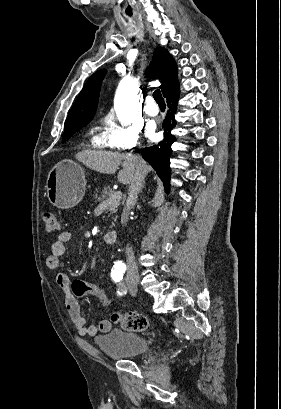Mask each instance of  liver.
I'll return each instance as SVG.
<instances>
[{"label": "liver", "instance_id": "6515ba94", "mask_svg": "<svg viewBox=\"0 0 281 409\" xmlns=\"http://www.w3.org/2000/svg\"><path fill=\"white\" fill-rule=\"evenodd\" d=\"M76 158L83 162L85 166H88V168L97 170V172H104V174H114L117 168H119V164H122L123 168L119 170L117 178L122 184H130L134 174L132 158H141V156H136V154H120V152H111V150H88L86 148V150L77 152ZM141 160H144V158H141ZM143 170L147 174L153 168L145 162Z\"/></svg>", "mask_w": 281, "mask_h": 409}]
</instances>
